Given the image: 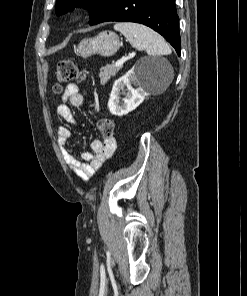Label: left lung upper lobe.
Segmentation results:
<instances>
[{"instance_id":"left-lung-upper-lobe-1","label":"left lung upper lobe","mask_w":247,"mask_h":296,"mask_svg":"<svg viewBox=\"0 0 247 296\" xmlns=\"http://www.w3.org/2000/svg\"><path fill=\"white\" fill-rule=\"evenodd\" d=\"M110 0H56V14L61 15L74 9V7L88 8L89 17L97 15Z\"/></svg>"}]
</instances>
